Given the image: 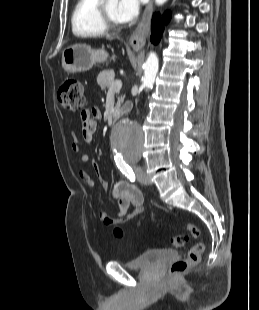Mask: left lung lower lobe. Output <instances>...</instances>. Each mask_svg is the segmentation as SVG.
<instances>
[{
	"instance_id": "left-lung-lower-lobe-1",
	"label": "left lung lower lobe",
	"mask_w": 259,
	"mask_h": 310,
	"mask_svg": "<svg viewBox=\"0 0 259 310\" xmlns=\"http://www.w3.org/2000/svg\"><path fill=\"white\" fill-rule=\"evenodd\" d=\"M168 15H169L168 12L163 15L165 24L168 22V17H167ZM163 29L164 27H163L160 14L154 15L152 19V27H151V30H152L151 42L158 43V41L160 40L162 36Z\"/></svg>"
}]
</instances>
